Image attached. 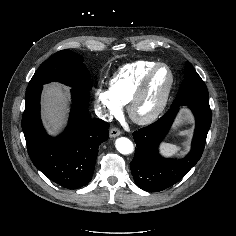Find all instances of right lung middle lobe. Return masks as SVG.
Masks as SVG:
<instances>
[{"mask_svg": "<svg viewBox=\"0 0 236 236\" xmlns=\"http://www.w3.org/2000/svg\"><path fill=\"white\" fill-rule=\"evenodd\" d=\"M52 81L82 90L92 87L90 73L82 57L69 50L59 51L47 59L33 75L27 89Z\"/></svg>", "mask_w": 236, "mask_h": 236, "instance_id": "dd1d6c3e", "label": "right lung middle lobe"}]
</instances>
